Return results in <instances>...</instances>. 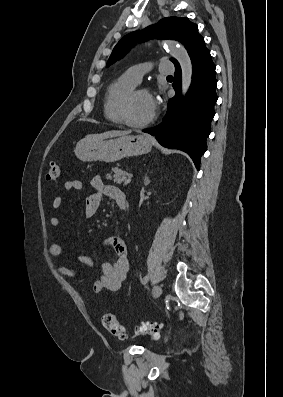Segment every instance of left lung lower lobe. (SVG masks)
Masks as SVG:
<instances>
[{"mask_svg":"<svg viewBox=\"0 0 283 397\" xmlns=\"http://www.w3.org/2000/svg\"><path fill=\"white\" fill-rule=\"evenodd\" d=\"M193 74L187 95L181 97V68L175 65L173 88L176 95L168 102V112L162 123L143 132L156 137L167 148L186 152L199 169L200 157L206 151V138L215 115L217 101L215 68L205 43L189 54Z\"/></svg>","mask_w":283,"mask_h":397,"instance_id":"0a47b994","label":"left lung lower lobe"}]
</instances>
